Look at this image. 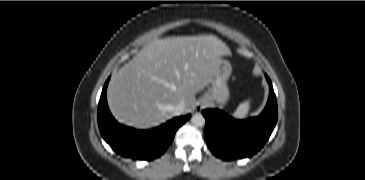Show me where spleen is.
I'll list each match as a JSON object with an SVG mask.
<instances>
[{
  "label": "spleen",
  "mask_w": 365,
  "mask_h": 180,
  "mask_svg": "<svg viewBox=\"0 0 365 180\" xmlns=\"http://www.w3.org/2000/svg\"><path fill=\"white\" fill-rule=\"evenodd\" d=\"M249 110H250V101L247 100L239 104L233 116L237 119H244L248 116Z\"/></svg>",
  "instance_id": "spleen-1"
}]
</instances>
